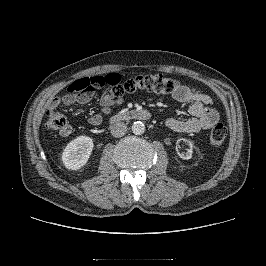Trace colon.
<instances>
[{
  "label": "colon",
  "instance_id": "obj_1",
  "mask_svg": "<svg viewBox=\"0 0 266 266\" xmlns=\"http://www.w3.org/2000/svg\"><path fill=\"white\" fill-rule=\"evenodd\" d=\"M108 86L110 92L121 97L139 91H152L159 94H171L178 88V82L160 73L138 75L123 80L118 73L106 75H94L76 79L68 86V92L73 94H86L94 89ZM47 130L66 134L69 132V124L66 117L56 108H49L45 115ZM227 137V128L224 124H216L210 131V143L214 146L223 144Z\"/></svg>",
  "mask_w": 266,
  "mask_h": 266
}]
</instances>
